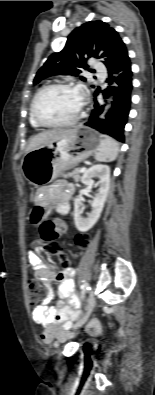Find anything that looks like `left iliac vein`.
I'll return each instance as SVG.
<instances>
[{
  "label": "left iliac vein",
  "instance_id": "1",
  "mask_svg": "<svg viewBox=\"0 0 155 395\" xmlns=\"http://www.w3.org/2000/svg\"><path fill=\"white\" fill-rule=\"evenodd\" d=\"M96 303V297H95V293L93 290L90 291L89 296L87 298V305H86V314L85 316L76 323V325L74 326V329H77L78 327H81L89 318L94 306Z\"/></svg>",
  "mask_w": 155,
  "mask_h": 395
}]
</instances>
